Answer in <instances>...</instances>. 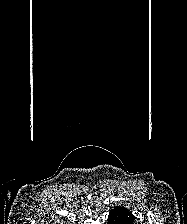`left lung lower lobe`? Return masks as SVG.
<instances>
[{"label": "left lung lower lobe", "mask_w": 187, "mask_h": 224, "mask_svg": "<svg viewBox=\"0 0 187 224\" xmlns=\"http://www.w3.org/2000/svg\"><path fill=\"white\" fill-rule=\"evenodd\" d=\"M135 216L124 206H116L108 216V224H134Z\"/></svg>", "instance_id": "left-lung-lower-lobe-1"}]
</instances>
